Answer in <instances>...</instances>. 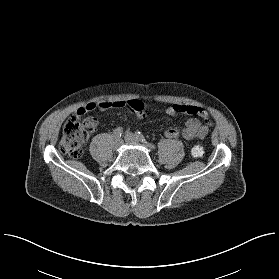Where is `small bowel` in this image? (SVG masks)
<instances>
[{"label": "small bowel", "instance_id": "1", "mask_svg": "<svg viewBox=\"0 0 279 279\" xmlns=\"http://www.w3.org/2000/svg\"><path fill=\"white\" fill-rule=\"evenodd\" d=\"M124 106L125 103L121 101H115L111 103L103 102L98 104V108L101 110H106L109 108H122ZM95 108L96 104L88 103L84 106L79 107L74 116L81 117L82 115L88 113L89 111H92ZM181 111L183 113L196 117H192L186 121L185 127L181 133L176 128H168L165 132L166 137L170 139H176L181 134V136L186 140H192L194 138L204 139L208 133L209 127L211 126V120L208 112L201 107L188 105H172L166 108V113L172 117L177 116ZM143 116L144 115L140 113L139 117Z\"/></svg>", "mask_w": 279, "mask_h": 279}]
</instances>
